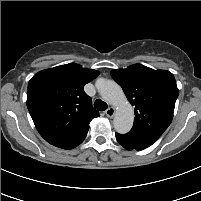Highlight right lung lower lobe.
I'll return each instance as SVG.
<instances>
[{
    "label": "right lung lower lobe",
    "instance_id": "right-lung-lower-lobe-1",
    "mask_svg": "<svg viewBox=\"0 0 201 201\" xmlns=\"http://www.w3.org/2000/svg\"><path fill=\"white\" fill-rule=\"evenodd\" d=\"M84 139L85 138H82V139H79L76 141H72V142H68V143L55 144L54 146L63 148V149H72V148H75L76 146H78L79 144H81Z\"/></svg>",
    "mask_w": 201,
    "mask_h": 201
}]
</instances>
